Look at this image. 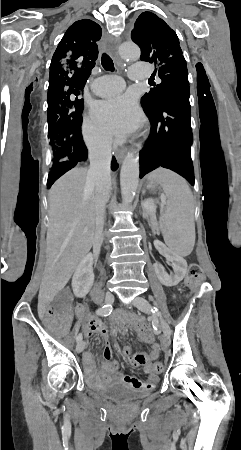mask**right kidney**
Masks as SVG:
<instances>
[{"mask_svg": "<svg viewBox=\"0 0 241 450\" xmlns=\"http://www.w3.org/2000/svg\"><path fill=\"white\" fill-rule=\"evenodd\" d=\"M93 264L92 254H87L78 264L72 278V290L76 298H84L90 292L94 282Z\"/></svg>", "mask_w": 241, "mask_h": 450, "instance_id": "right-kidney-1", "label": "right kidney"}]
</instances>
